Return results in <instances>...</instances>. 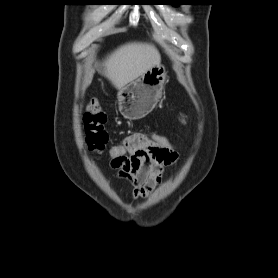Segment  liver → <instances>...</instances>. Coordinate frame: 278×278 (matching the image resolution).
<instances>
[{
  "mask_svg": "<svg viewBox=\"0 0 278 278\" xmlns=\"http://www.w3.org/2000/svg\"><path fill=\"white\" fill-rule=\"evenodd\" d=\"M160 62V53L153 45L127 43L106 58L99 72L120 90ZM93 74L94 71L87 74L85 86L92 82Z\"/></svg>",
  "mask_w": 278,
  "mask_h": 278,
  "instance_id": "1",
  "label": "liver"
}]
</instances>
